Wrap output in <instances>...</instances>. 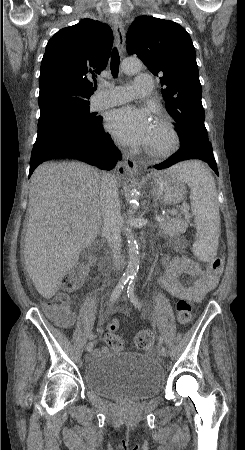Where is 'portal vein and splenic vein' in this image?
Wrapping results in <instances>:
<instances>
[{
    "label": "portal vein and splenic vein",
    "instance_id": "18ae733b",
    "mask_svg": "<svg viewBox=\"0 0 245 450\" xmlns=\"http://www.w3.org/2000/svg\"><path fill=\"white\" fill-rule=\"evenodd\" d=\"M182 210H183V212H188L189 211V206L188 205H184ZM171 214L172 215H176L177 211H172ZM155 219H156V221L160 222V221L164 220V217L163 216H156Z\"/></svg>",
    "mask_w": 245,
    "mask_h": 450
}]
</instances>
